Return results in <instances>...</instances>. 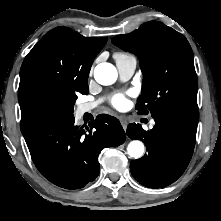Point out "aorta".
<instances>
[{
  "label": "aorta",
  "mask_w": 221,
  "mask_h": 221,
  "mask_svg": "<svg viewBox=\"0 0 221 221\" xmlns=\"http://www.w3.org/2000/svg\"><path fill=\"white\" fill-rule=\"evenodd\" d=\"M117 77V69L110 63H100L94 69V78L101 85H111ZM127 152L130 157L138 159L144 154V144L139 140H133L129 143Z\"/></svg>",
  "instance_id": "aorta-1"
}]
</instances>
